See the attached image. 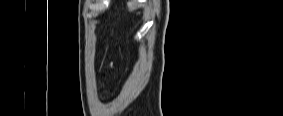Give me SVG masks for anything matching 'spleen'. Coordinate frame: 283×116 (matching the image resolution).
Returning <instances> with one entry per match:
<instances>
[{
    "label": "spleen",
    "instance_id": "1",
    "mask_svg": "<svg viewBox=\"0 0 283 116\" xmlns=\"http://www.w3.org/2000/svg\"><path fill=\"white\" fill-rule=\"evenodd\" d=\"M128 6H129L130 8H133V7H134V5H133L132 2H129V3H128Z\"/></svg>",
    "mask_w": 283,
    "mask_h": 116
}]
</instances>
